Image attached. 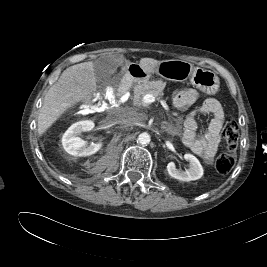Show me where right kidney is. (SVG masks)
<instances>
[{"instance_id": "ca27d5eb", "label": "right kidney", "mask_w": 267, "mask_h": 267, "mask_svg": "<svg viewBox=\"0 0 267 267\" xmlns=\"http://www.w3.org/2000/svg\"><path fill=\"white\" fill-rule=\"evenodd\" d=\"M94 128L91 120L79 121L71 125L62 136V145L65 151L73 156H90L98 152L102 143H91L87 146V142L82 140L79 135L82 132L90 131Z\"/></svg>"}]
</instances>
